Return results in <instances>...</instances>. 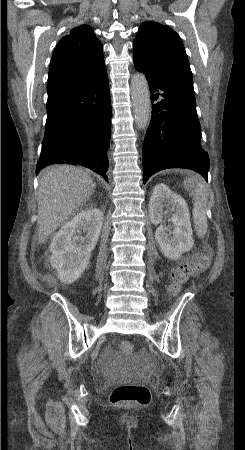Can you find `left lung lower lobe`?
Instances as JSON below:
<instances>
[{
  "label": "left lung lower lobe",
  "instance_id": "left-lung-lower-lobe-1",
  "mask_svg": "<svg viewBox=\"0 0 245 450\" xmlns=\"http://www.w3.org/2000/svg\"><path fill=\"white\" fill-rule=\"evenodd\" d=\"M145 76L151 92L152 117L143 144L144 184L153 174L168 168L192 169L207 181L209 157L201 145L196 105L162 78Z\"/></svg>",
  "mask_w": 245,
  "mask_h": 450
}]
</instances>
